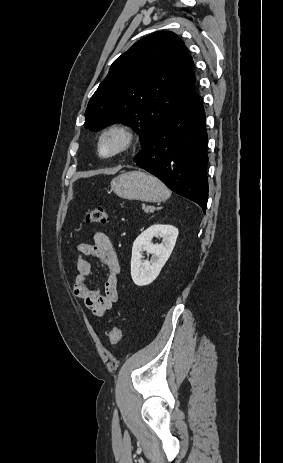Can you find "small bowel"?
<instances>
[{"mask_svg":"<svg viewBox=\"0 0 283 463\" xmlns=\"http://www.w3.org/2000/svg\"><path fill=\"white\" fill-rule=\"evenodd\" d=\"M78 260L73 292L82 299L87 308L96 317L104 316L118 302V280L121 266L117 252L110 237L98 231L94 234L93 243H82L77 246ZM86 257H93L100 261L107 270L104 292L90 287L91 264Z\"/></svg>","mask_w":283,"mask_h":463,"instance_id":"obj_1","label":"small bowel"}]
</instances>
